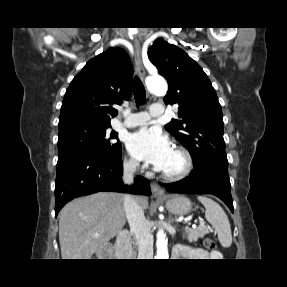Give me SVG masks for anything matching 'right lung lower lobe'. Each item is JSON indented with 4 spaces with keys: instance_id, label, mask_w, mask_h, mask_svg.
<instances>
[{
    "instance_id": "right-lung-lower-lobe-1",
    "label": "right lung lower lobe",
    "mask_w": 287,
    "mask_h": 287,
    "mask_svg": "<svg viewBox=\"0 0 287 287\" xmlns=\"http://www.w3.org/2000/svg\"><path fill=\"white\" fill-rule=\"evenodd\" d=\"M121 154L115 159H103L75 154L58 159L55 184V214L75 197L100 191L151 195L149 181L141 176L132 186L122 182Z\"/></svg>"
}]
</instances>
